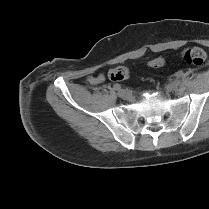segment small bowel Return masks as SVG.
<instances>
[{
	"instance_id": "c3829d8e",
	"label": "small bowel",
	"mask_w": 209,
	"mask_h": 209,
	"mask_svg": "<svg viewBox=\"0 0 209 209\" xmlns=\"http://www.w3.org/2000/svg\"><path fill=\"white\" fill-rule=\"evenodd\" d=\"M104 80V75L103 74H100L96 77H89L88 78V81L93 84V85H96V84H99L101 83L102 81Z\"/></svg>"
}]
</instances>
